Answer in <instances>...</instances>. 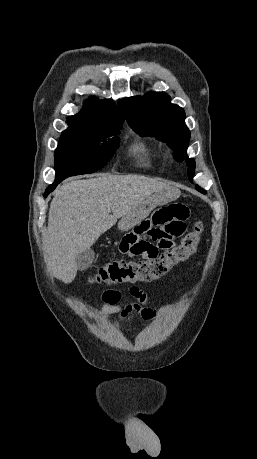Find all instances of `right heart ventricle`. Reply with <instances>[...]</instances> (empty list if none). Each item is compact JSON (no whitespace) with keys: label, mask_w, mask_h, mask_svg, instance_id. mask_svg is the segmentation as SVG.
<instances>
[{"label":"right heart ventricle","mask_w":257,"mask_h":459,"mask_svg":"<svg viewBox=\"0 0 257 459\" xmlns=\"http://www.w3.org/2000/svg\"><path fill=\"white\" fill-rule=\"evenodd\" d=\"M131 152L139 163L145 167H149L152 159L156 156L155 150L144 142L134 144L131 148Z\"/></svg>","instance_id":"1"}]
</instances>
